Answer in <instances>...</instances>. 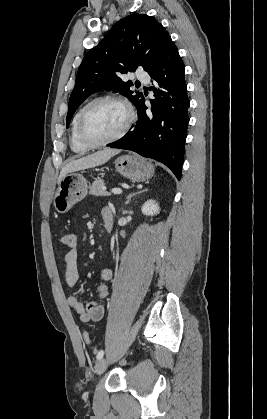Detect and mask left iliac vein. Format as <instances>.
Masks as SVG:
<instances>
[{"label":"left iliac vein","mask_w":267,"mask_h":419,"mask_svg":"<svg viewBox=\"0 0 267 419\" xmlns=\"http://www.w3.org/2000/svg\"><path fill=\"white\" fill-rule=\"evenodd\" d=\"M107 366H108V360L105 358L100 359L96 365V369H95L96 375L100 376L101 374H103Z\"/></svg>","instance_id":"obj_1"}]
</instances>
